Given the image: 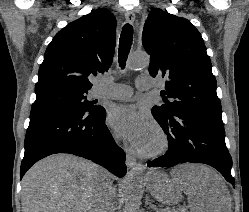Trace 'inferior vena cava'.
Returning a JSON list of instances; mask_svg holds the SVG:
<instances>
[{
  "instance_id": "inferior-vena-cava-1",
  "label": "inferior vena cava",
  "mask_w": 249,
  "mask_h": 212,
  "mask_svg": "<svg viewBox=\"0 0 249 212\" xmlns=\"http://www.w3.org/2000/svg\"><path fill=\"white\" fill-rule=\"evenodd\" d=\"M132 178H142L141 170ZM92 212H113L112 182L104 168H100L97 176Z\"/></svg>"
}]
</instances>
